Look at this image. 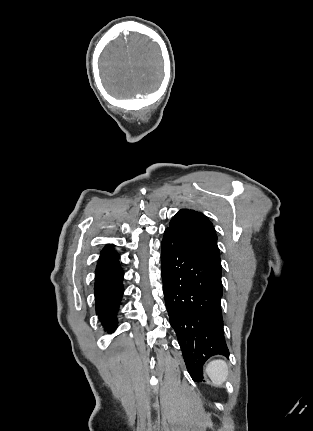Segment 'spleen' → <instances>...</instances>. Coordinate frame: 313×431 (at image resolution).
I'll return each mask as SVG.
<instances>
[{
	"mask_svg": "<svg viewBox=\"0 0 313 431\" xmlns=\"http://www.w3.org/2000/svg\"><path fill=\"white\" fill-rule=\"evenodd\" d=\"M213 384L222 386L228 377V366L224 360H213L205 368Z\"/></svg>",
	"mask_w": 313,
	"mask_h": 431,
	"instance_id": "spleen-1",
	"label": "spleen"
}]
</instances>
